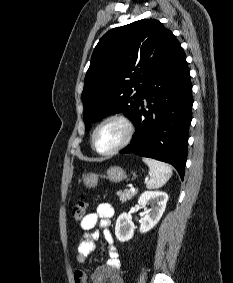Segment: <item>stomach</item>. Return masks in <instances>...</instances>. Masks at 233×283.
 <instances>
[{"label": "stomach", "mask_w": 233, "mask_h": 283, "mask_svg": "<svg viewBox=\"0 0 233 283\" xmlns=\"http://www.w3.org/2000/svg\"><path fill=\"white\" fill-rule=\"evenodd\" d=\"M127 177L126 172L119 166H112L106 172V178L111 182H121ZM99 175L88 173L83 177V182L86 187L93 188L98 184Z\"/></svg>", "instance_id": "0dacf381"}]
</instances>
